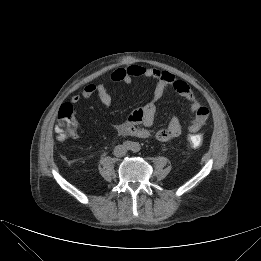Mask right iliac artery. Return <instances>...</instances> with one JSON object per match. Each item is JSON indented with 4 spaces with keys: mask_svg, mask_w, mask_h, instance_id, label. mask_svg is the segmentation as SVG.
I'll return each mask as SVG.
<instances>
[{
    "mask_svg": "<svg viewBox=\"0 0 261 261\" xmlns=\"http://www.w3.org/2000/svg\"><path fill=\"white\" fill-rule=\"evenodd\" d=\"M123 146H124L126 149H131L132 146H133V144H132V142H130V141H125V142L123 143Z\"/></svg>",
    "mask_w": 261,
    "mask_h": 261,
    "instance_id": "obj_1",
    "label": "right iliac artery"
}]
</instances>
